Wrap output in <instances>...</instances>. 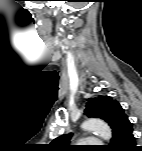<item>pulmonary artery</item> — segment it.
I'll return each instance as SVG.
<instances>
[{"mask_svg":"<svg viewBox=\"0 0 142 151\" xmlns=\"http://www.w3.org/2000/svg\"><path fill=\"white\" fill-rule=\"evenodd\" d=\"M78 143H84V144H90V145H98L101 143L100 140L96 138H85V139H80Z\"/></svg>","mask_w":142,"mask_h":151,"instance_id":"1","label":"pulmonary artery"}]
</instances>
